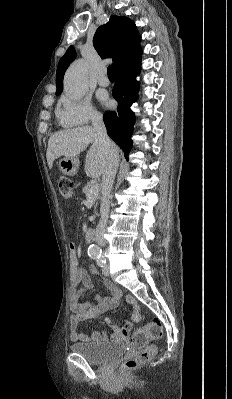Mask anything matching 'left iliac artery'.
I'll use <instances>...</instances> for the list:
<instances>
[{
	"label": "left iliac artery",
	"instance_id": "left-iliac-artery-1",
	"mask_svg": "<svg viewBox=\"0 0 232 399\" xmlns=\"http://www.w3.org/2000/svg\"><path fill=\"white\" fill-rule=\"evenodd\" d=\"M105 263H106V260L101 255H98L97 256V264L100 267H103L105 265Z\"/></svg>",
	"mask_w": 232,
	"mask_h": 399
}]
</instances>
